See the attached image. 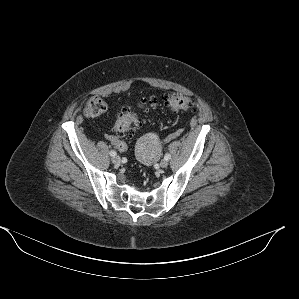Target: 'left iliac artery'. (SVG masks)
Segmentation results:
<instances>
[{
    "instance_id": "obj_1",
    "label": "left iliac artery",
    "mask_w": 299,
    "mask_h": 299,
    "mask_svg": "<svg viewBox=\"0 0 299 299\" xmlns=\"http://www.w3.org/2000/svg\"><path fill=\"white\" fill-rule=\"evenodd\" d=\"M164 159H165V160H170V159H171V155H170V154H168V153H167V154H165V156H164Z\"/></svg>"
}]
</instances>
